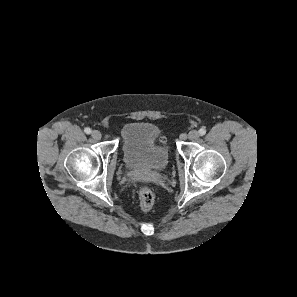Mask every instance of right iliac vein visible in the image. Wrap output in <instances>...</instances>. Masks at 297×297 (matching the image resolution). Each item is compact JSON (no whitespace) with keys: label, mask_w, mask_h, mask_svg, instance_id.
Segmentation results:
<instances>
[{"label":"right iliac vein","mask_w":297,"mask_h":297,"mask_svg":"<svg viewBox=\"0 0 297 297\" xmlns=\"http://www.w3.org/2000/svg\"><path fill=\"white\" fill-rule=\"evenodd\" d=\"M91 136H92L93 139L99 140V139H101L102 134L98 130H93L92 133H91Z\"/></svg>","instance_id":"obj_1"}]
</instances>
